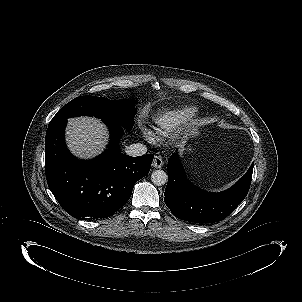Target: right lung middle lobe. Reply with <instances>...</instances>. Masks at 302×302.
I'll return each instance as SVG.
<instances>
[{
  "label": "right lung middle lobe",
  "instance_id": "obj_1",
  "mask_svg": "<svg viewBox=\"0 0 302 302\" xmlns=\"http://www.w3.org/2000/svg\"><path fill=\"white\" fill-rule=\"evenodd\" d=\"M135 104V101L126 99L109 100L104 97L81 96L67 103L50 123L66 120L69 117L88 115L117 123L130 131L134 125Z\"/></svg>",
  "mask_w": 302,
  "mask_h": 302
}]
</instances>
